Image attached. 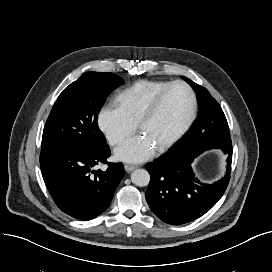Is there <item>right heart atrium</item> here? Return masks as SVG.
<instances>
[{"label": "right heart atrium", "mask_w": 272, "mask_h": 272, "mask_svg": "<svg viewBox=\"0 0 272 272\" xmlns=\"http://www.w3.org/2000/svg\"><path fill=\"white\" fill-rule=\"evenodd\" d=\"M96 125L111 145L122 143L135 129V123L118 106L108 103L98 109Z\"/></svg>", "instance_id": "right-heart-atrium-1"}]
</instances>
